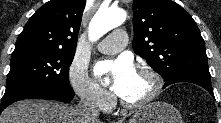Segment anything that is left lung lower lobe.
<instances>
[{
    "mask_svg": "<svg viewBox=\"0 0 221 123\" xmlns=\"http://www.w3.org/2000/svg\"><path fill=\"white\" fill-rule=\"evenodd\" d=\"M210 78L211 77H204L196 74L182 75L166 81L164 84V88L178 82H189L203 87L214 97Z\"/></svg>",
    "mask_w": 221,
    "mask_h": 123,
    "instance_id": "1",
    "label": "left lung lower lobe"
}]
</instances>
